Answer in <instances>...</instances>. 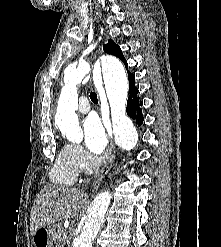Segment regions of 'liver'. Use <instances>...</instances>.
Wrapping results in <instances>:
<instances>
[{
	"label": "liver",
	"instance_id": "1",
	"mask_svg": "<svg viewBox=\"0 0 221 247\" xmlns=\"http://www.w3.org/2000/svg\"><path fill=\"white\" fill-rule=\"evenodd\" d=\"M85 193L76 188L47 185L38 194L30 216L32 235L36 230L62 219H72L85 204Z\"/></svg>",
	"mask_w": 221,
	"mask_h": 247
}]
</instances>
